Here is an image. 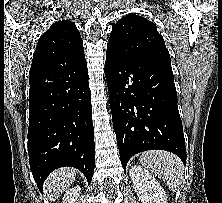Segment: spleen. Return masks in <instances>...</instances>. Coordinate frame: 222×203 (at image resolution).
Wrapping results in <instances>:
<instances>
[{
  "label": "spleen",
  "mask_w": 222,
  "mask_h": 203,
  "mask_svg": "<svg viewBox=\"0 0 222 203\" xmlns=\"http://www.w3.org/2000/svg\"><path fill=\"white\" fill-rule=\"evenodd\" d=\"M140 163L156 177L166 181L170 190L176 191L184 181V166L174 154L162 150L143 152Z\"/></svg>",
  "instance_id": "1"
}]
</instances>
